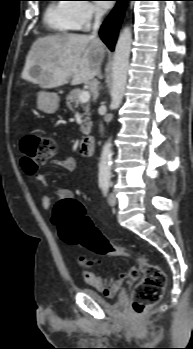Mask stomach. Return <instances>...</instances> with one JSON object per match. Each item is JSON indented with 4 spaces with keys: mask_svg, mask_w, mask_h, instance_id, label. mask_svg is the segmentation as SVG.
<instances>
[{
    "mask_svg": "<svg viewBox=\"0 0 193 349\" xmlns=\"http://www.w3.org/2000/svg\"><path fill=\"white\" fill-rule=\"evenodd\" d=\"M59 101L56 93L40 91L37 95L38 108L46 114L55 113L59 107Z\"/></svg>",
    "mask_w": 193,
    "mask_h": 349,
    "instance_id": "obj_1",
    "label": "stomach"
}]
</instances>
